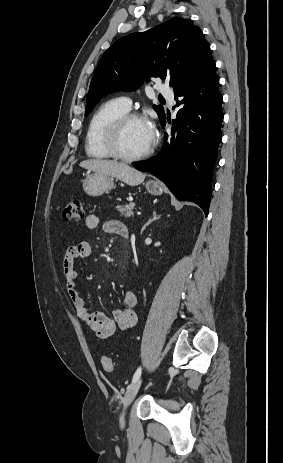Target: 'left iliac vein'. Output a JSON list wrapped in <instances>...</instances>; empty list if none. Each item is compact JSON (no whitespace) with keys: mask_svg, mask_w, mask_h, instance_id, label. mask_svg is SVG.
Instances as JSON below:
<instances>
[{"mask_svg":"<svg viewBox=\"0 0 283 463\" xmlns=\"http://www.w3.org/2000/svg\"><path fill=\"white\" fill-rule=\"evenodd\" d=\"M142 383V379L139 378L137 381L133 382L129 387L127 388V391L124 395L123 398V411L120 417V421L123 424L124 423V413L127 407L131 404V402L134 400L140 386Z\"/></svg>","mask_w":283,"mask_h":463,"instance_id":"obj_1","label":"left iliac vein"}]
</instances>
